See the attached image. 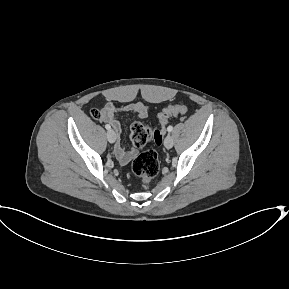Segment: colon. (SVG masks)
Listing matches in <instances>:
<instances>
[{"instance_id": "colon-1", "label": "colon", "mask_w": 289, "mask_h": 289, "mask_svg": "<svg viewBox=\"0 0 289 289\" xmlns=\"http://www.w3.org/2000/svg\"><path fill=\"white\" fill-rule=\"evenodd\" d=\"M187 107L183 104L171 105L164 108L158 115L160 125L167 124L169 118L183 114ZM93 118L99 119L100 112L93 110ZM130 136L136 147H143L151 142L160 145L163 139V130L151 127L141 122H135L131 125ZM160 162L157 153L154 150H147L138 155L132 163L133 173L143 184H148L159 172Z\"/></svg>"}]
</instances>
